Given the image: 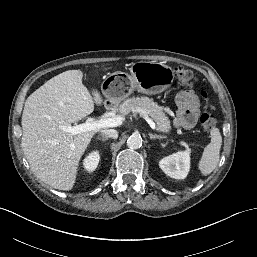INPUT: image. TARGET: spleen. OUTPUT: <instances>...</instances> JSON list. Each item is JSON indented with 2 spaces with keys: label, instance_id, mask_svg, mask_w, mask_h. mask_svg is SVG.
Masks as SVG:
<instances>
[{
  "label": "spleen",
  "instance_id": "obj_1",
  "mask_svg": "<svg viewBox=\"0 0 257 257\" xmlns=\"http://www.w3.org/2000/svg\"><path fill=\"white\" fill-rule=\"evenodd\" d=\"M210 143L204 148L198 163V169L203 176L209 175L216 167L220 159L222 137L218 128L211 129Z\"/></svg>",
  "mask_w": 257,
  "mask_h": 257
}]
</instances>
